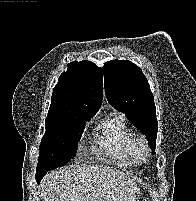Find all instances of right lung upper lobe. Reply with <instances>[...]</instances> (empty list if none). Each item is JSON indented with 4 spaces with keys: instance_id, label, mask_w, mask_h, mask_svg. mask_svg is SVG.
<instances>
[{
    "instance_id": "1",
    "label": "right lung upper lobe",
    "mask_w": 196,
    "mask_h": 201,
    "mask_svg": "<svg viewBox=\"0 0 196 201\" xmlns=\"http://www.w3.org/2000/svg\"><path fill=\"white\" fill-rule=\"evenodd\" d=\"M103 97L102 69L90 61H74L68 64L53 90L47 117L72 111L95 115Z\"/></svg>"
}]
</instances>
